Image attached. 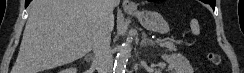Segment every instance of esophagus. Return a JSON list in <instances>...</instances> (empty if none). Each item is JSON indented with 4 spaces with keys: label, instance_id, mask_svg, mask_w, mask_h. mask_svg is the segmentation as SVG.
<instances>
[{
    "label": "esophagus",
    "instance_id": "obj_1",
    "mask_svg": "<svg viewBox=\"0 0 244 73\" xmlns=\"http://www.w3.org/2000/svg\"><path fill=\"white\" fill-rule=\"evenodd\" d=\"M122 5H123L124 10H135L136 9L135 4L129 0H124Z\"/></svg>",
    "mask_w": 244,
    "mask_h": 73
}]
</instances>
